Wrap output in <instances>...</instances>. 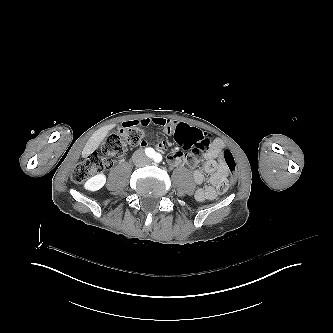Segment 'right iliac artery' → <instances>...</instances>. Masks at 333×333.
I'll return each mask as SVG.
<instances>
[{
  "mask_svg": "<svg viewBox=\"0 0 333 333\" xmlns=\"http://www.w3.org/2000/svg\"><path fill=\"white\" fill-rule=\"evenodd\" d=\"M145 152L146 155L150 158H152L155 155V151L152 148H147Z\"/></svg>",
  "mask_w": 333,
  "mask_h": 333,
  "instance_id": "82829eb1",
  "label": "right iliac artery"
}]
</instances>
